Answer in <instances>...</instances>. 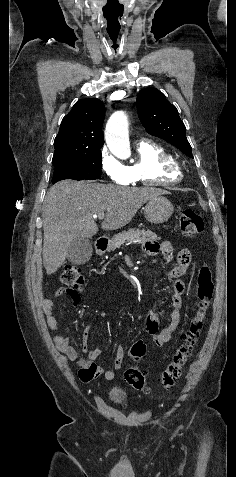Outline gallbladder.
I'll use <instances>...</instances> for the list:
<instances>
[{
    "mask_svg": "<svg viewBox=\"0 0 236 477\" xmlns=\"http://www.w3.org/2000/svg\"><path fill=\"white\" fill-rule=\"evenodd\" d=\"M93 252L92 242L86 238L74 239L67 251V259L75 264H85L91 257Z\"/></svg>",
    "mask_w": 236,
    "mask_h": 477,
    "instance_id": "1",
    "label": "gallbladder"
}]
</instances>
